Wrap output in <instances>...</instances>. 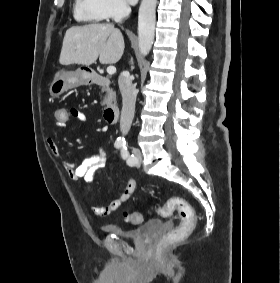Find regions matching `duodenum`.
Wrapping results in <instances>:
<instances>
[{
    "label": "duodenum",
    "mask_w": 280,
    "mask_h": 283,
    "mask_svg": "<svg viewBox=\"0 0 280 283\" xmlns=\"http://www.w3.org/2000/svg\"><path fill=\"white\" fill-rule=\"evenodd\" d=\"M83 80H85L89 84H94L107 89H110L111 86V82L107 78L97 73H89L88 75L83 77ZM103 116L105 121L109 124H114L115 122H117L119 116V106L114 97L111 96L109 98V101L107 102L103 110Z\"/></svg>",
    "instance_id": "obj_1"
}]
</instances>
